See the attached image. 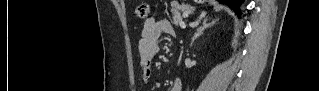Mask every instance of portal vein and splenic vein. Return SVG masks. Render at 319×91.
<instances>
[{
    "mask_svg": "<svg viewBox=\"0 0 319 91\" xmlns=\"http://www.w3.org/2000/svg\"><path fill=\"white\" fill-rule=\"evenodd\" d=\"M179 25H180L181 28H186V24L184 22H182V21L179 23Z\"/></svg>",
    "mask_w": 319,
    "mask_h": 91,
    "instance_id": "18ae733b",
    "label": "portal vein and splenic vein"
}]
</instances>
